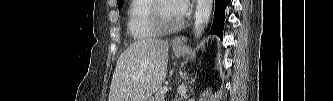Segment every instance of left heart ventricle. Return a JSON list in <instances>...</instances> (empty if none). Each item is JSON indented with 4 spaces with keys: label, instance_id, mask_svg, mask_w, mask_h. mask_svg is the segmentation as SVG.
<instances>
[{
    "label": "left heart ventricle",
    "instance_id": "left-heart-ventricle-1",
    "mask_svg": "<svg viewBox=\"0 0 333 101\" xmlns=\"http://www.w3.org/2000/svg\"><path fill=\"white\" fill-rule=\"evenodd\" d=\"M161 14L164 22L167 25L176 23L181 17L174 11L170 2L163 3Z\"/></svg>",
    "mask_w": 333,
    "mask_h": 101
}]
</instances>
